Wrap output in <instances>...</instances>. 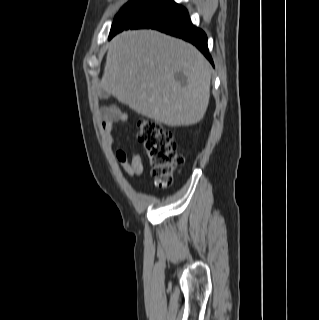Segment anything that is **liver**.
<instances>
[{"label": "liver", "instance_id": "6515ba94", "mask_svg": "<svg viewBox=\"0 0 319 320\" xmlns=\"http://www.w3.org/2000/svg\"><path fill=\"white\" fill-rule=\"evenodd\" d=\"M210 80V64L193 45L155 30H128L109 44L100 88L142 116L179 127L204 117Z\"/></svg>", "mask_w": 319, "mask_h": 320}]
</instances>
